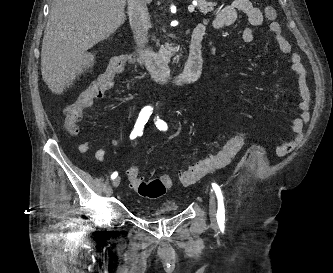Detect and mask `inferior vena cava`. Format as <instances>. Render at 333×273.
<instances>
[{
    "label": "inferior vena cava",
    "instance_id": "1",
    "mask_svg": "<svg viewBox=\"0 0 333 273\" xmlns=\"http://www.w3.org/2000/svg\"><path fill=\"white\" fill-rule=\"evenodd\" d=\"M146 0H128V16L136 43L144 46L147 42L150 17Z\"/></svg>",
    "mask_w": 333,
    "mask_h": 273
}]
</instances>
